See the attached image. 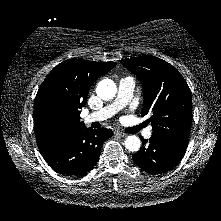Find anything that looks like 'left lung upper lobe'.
Masks as SVG:
<instances>
[{
    "instance_id": "obj_1",
    "label": "left lung upper lobe",
    "mask_w": 221,
    "mask_h": 221,
    "mask_svg": "<svg viewBox=\"0 0 221 221\" xmlns=\"http://www.w3.org/2000/svg\"><path fill=\"white\" fill-rule=\"evenodd\" d=\"M141 81L144 90L142 115L150 114L153 135L187 145L192 117L191 91L181 74L168 62L140 56L121 60Z\"/></svg>"
}]
</instances>
